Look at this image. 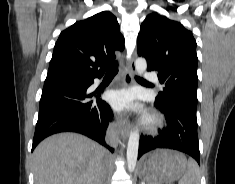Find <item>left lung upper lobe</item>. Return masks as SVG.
Wrapping results in <instances>:
<instances>
[{
	"label": "left lung upper lobe",
	"instance_id": "5c2ea615",
	"mask_svg": "<svg viewBox=\"0 0 235 184\" xmlns=\"http://www.w3.org/2000/svg\"><path fill=\"white\" fill-rule=\"evenodd\" d=\"M138 55L147 60V70L157 71L163 84L155 102L178 100L197 108L196 41L192 32L157 13L149 14L138 35Z\"/></svg>",
	"mask_w": 235,
	"mask_h": 184
}]
</instances>
